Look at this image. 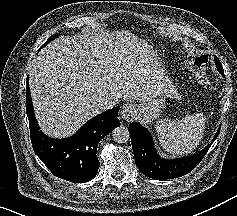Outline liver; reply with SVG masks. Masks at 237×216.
<instances>
[{
	"mask_svg": "<svg viewBox=\"0 0 237 216\" xmlns=\"http://www.w3.org/2000/svg\"><path fill=\"white\" fill-rule=\"evenodd\" d=\"M162 78L142 65H121L114 36L97 32L49 43L30 69L29 87L41 130L65 138L103 111L101 97L144 101Z\"/></svg>",
	"mask_w": 237,
	"mask_h": 216,
	"instance_id": "6515ba94",
	"label": "liver"
}]
</instances>
